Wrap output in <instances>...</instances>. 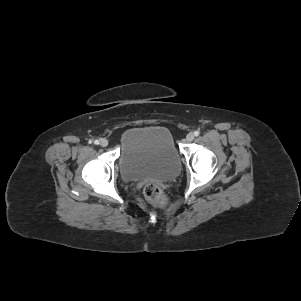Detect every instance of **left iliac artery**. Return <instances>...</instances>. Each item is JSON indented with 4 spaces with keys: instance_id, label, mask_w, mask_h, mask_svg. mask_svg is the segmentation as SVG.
I'll return each mask as SVG.
<instances>
[{
    "instance_id": "obj_1",
    "label": "left iliac artery",
    "mask_w": 301,
    "mask_h": 301,
    "mask_svg": "<svg viewBox=\"0 0 301 301\" xmlns=\"http://www.w3.org/2000/svg\"><path fill=\"white\" fill-rule=\"evenodd\" d=\"M199 134H200L199 131H195V132H194V135H195V136H198Z\"/></svg>"
}]
</instances>
